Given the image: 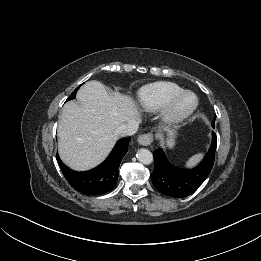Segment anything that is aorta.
Returning <instances> with one entry per match:
<instances>
[{
  "mask_svg": "<svg viewBox=\"0 0 261 261\" xmlns=\"http://www.w3.org/2000/svg\"><path fill=\"white\" fill-rule=\"evenodd\" d=\"M136 156L142 164L149 165L153 162V154L145 148L139 149Z\"/></svg>",
  "mask_w": 261,
  "mask_h": 261,
  "instance_id": "1",
  "label": "aorta"
}]
</instances>
